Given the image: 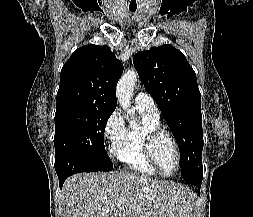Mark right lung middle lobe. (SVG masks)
<instances>
[{
    "mask_svg": "<svg viewBox=\"0 0 253 217\" xmlns=\"http://www.w3.org/2000/svg\"><path fill=\"white\" fill-rule=\"evenodd\" d=\"M112 112L83 105L56 107L55 161L77 156L85 159L92 172L112 170L104 146L105 125Z\"/></svg>",
    "mask_w": 253,
    "mask_h": 217,
    "instance_id": "obj_1",
    "label": "right lung middle lobe"
}]
</instances>
